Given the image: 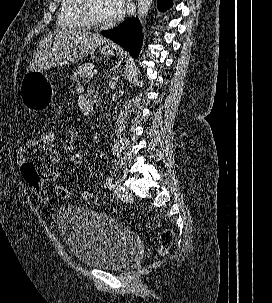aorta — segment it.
<instances>
[{"label":"aorta","instance_id":"obj_1","mask_svg":"<svg viewBox=\"0 0 272 303\" xmlns=\"http://www.w3.org/2000/svg\"><path fill=\"white\" fill-rule=\"evenodd\" d=\"M153 0H138L137 16L142 21L147 16Z\"/></svg>","mask_w":272,"mask_h":303}]
</instances>
